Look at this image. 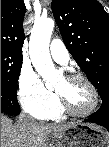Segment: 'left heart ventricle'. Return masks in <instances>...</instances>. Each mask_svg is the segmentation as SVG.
Here are the masks:
<instances>
[{
    "mask_svg": "<svg viewBox=\"0 0 109 147\" xmlns=\"http://www.w3.org/2000/svg\"><path fill=\"white\" fill-rule=\"evenodd\" d=\"M56 91L64 94L70 101L72 107L77 111H86L93 104L94 97L89 86L83 81L68 82L62 79Z\"/></svg>",
    "mask_w": 109,
    "mask_h": 147,
    "instance_id": "1",
    "label": "left heart ventricle"
}]
</instances>
